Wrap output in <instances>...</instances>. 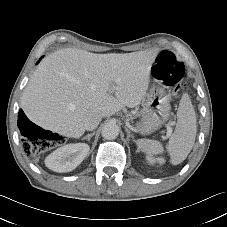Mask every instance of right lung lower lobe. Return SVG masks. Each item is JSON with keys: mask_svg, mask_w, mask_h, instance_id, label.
Instances as JSON below:
<instances>
[{"mask_svg": "<svg viewBox=\"0 0 227 227\" xmlns=\"http://www.w3.org/2000/svg\"><path fill=\"white\" fill-rule=\"evenodd\" d=\"M33 123L29 121V119L25 116L22 110L19 111L18 114V127L21 133L24 132V129L27 125H32Z\"/></svg>", "mask_w": 227, "mask_h": 227, "instance_id": "98d812e1", "label": "right lung lower lobe"}]
</instances>
